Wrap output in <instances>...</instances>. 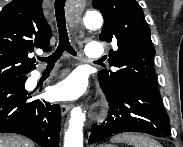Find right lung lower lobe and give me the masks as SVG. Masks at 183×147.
<instances>
[{"label":"right lung lower lobe","mask_w":183,"mask_h":147,"mask_svg":"<svg viewBox=\"0 0 183 147\" xmlns=\"http://www.w3.org/2000/svg\"><path fill=\"white\" fill-rule=\"evenodd\" d=\"M26 80L25 75L0 82V133L22 134L41 147H58L60 106L30 100Z\"/></svg>","instance_id":"obj_1"}]
</instances>
